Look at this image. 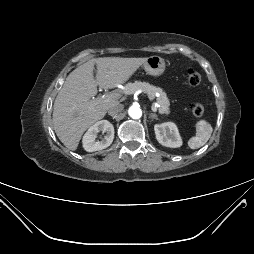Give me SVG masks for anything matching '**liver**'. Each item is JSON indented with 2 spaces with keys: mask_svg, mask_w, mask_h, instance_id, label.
I'll return each instance as SVG.
<instances>
[{
  "mask_svg": "<svg viewBox=\"0 0 254 254\" xmlns=\"http://www.w3.org/2000/svg\"><path fill=\"white\" fill-rule=\"evenodd\" d=\"M147 58L99 57L77 67L66 78L53 108V127L59 140L70 150L77 149L83 133L102 119L113 100L95 104L91 98L97 86L111 89L125 83ZM97 68L96 79L93 76Z\"/></svg>",
  "mask_w": 254,
  "mask_h": 254,
  "instance_id": "1",
  "label": "liver"
}]
</instances>
